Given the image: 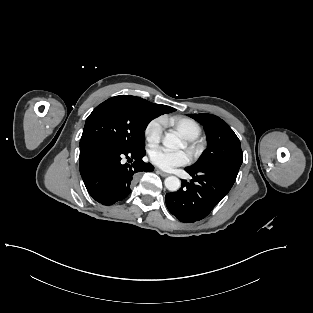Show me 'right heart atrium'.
<instances>
[{
	"instance_id": "1",
	"label": "right heart atrium",
	"mask_w": 313,
	"mask_h": 313,
	"mask_svg": "<svg viewBox=\"0 0 313 313\" xmlns=\"http://www.w3.org/2000/svg\"><path fill=\"white\" fill-rule=\"evenodd\" d=\"M163 127L164 121L162 118H155L151 120L144 130L146 141L151 145L159 143L162 137Z\"/></svg>"
}]
</instances>
